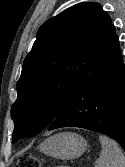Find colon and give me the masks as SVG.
I'll return each mask as SVG.
<instances>
[{
    "label": "colon",
    "mask_w": 125,
    "mask_h": 167,
    "mask_svg": "<svg viewBox=\"0 0 125 167\" xmlns=\"http://www.w3.org/2000/svg\"><path fill=\"white\" fill-rule=\"evenodd\" d=\"M16 167H40V162L33 154H23L18 157Z\"/></svg>",
    "instance_id": "obj_1"
}]
</instances>
